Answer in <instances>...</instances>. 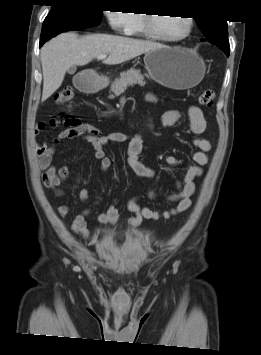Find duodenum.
<instances>
[{
    "label": "duodenum",
    "instance_id": "obj_1",
    "mask_svg": "<svg viewBox=\"0 0 261 355\" xmlns=\"http://www.w3.org/2000/svg\"><path fill=\"white\" fill-rule=\"evenodd\" d=\"M77 87L81 90L89 91L95 89L97 85L89 80L82 79L77 83Z\"/></svg>",
    "mask_w": 261,
    "mask_h": 355
}]
</instances>
